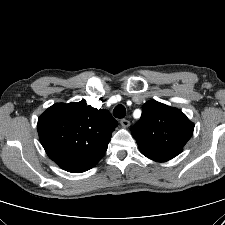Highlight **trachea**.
Wrapping results in <instances>:
<instances>
[{
    "label": "trachea",
    "mask_w": 225,
    "mask_h": 225,
    "mask_svg": "<svg viewBox=\"0 0 225 225\" xmlns=\"http://www.w3.org/2000/svg\"><path fill=\"white\" fill-rule=\"evenodd\" d=\"M113 115L116 118H124L126 116V109L123 105H117L113 110Z\"/></svg>",
    "instance_id": "3493384b"
}]
</instances>
